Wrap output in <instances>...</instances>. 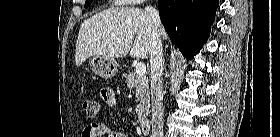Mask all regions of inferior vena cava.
Returning <instances> with one entry per match:
<instances>
[{"label": "inferior vena cava", "mask_w": 280, "mask_h": 137, "mask_svg": "<svg viewBox=\"0 0 280 137\" xmlns=\"http://www.w3.org/2000/svg\"><path fill=\"white\" fill-rule=\"evenodd\" d=\"M152 20V44L150 52L151 65V103H152V134L151 137H163V105H162V74L163 53L161 43V22L158 11L145 7Z\"/></svg>", "instance_id": "inferior-vena-cava-1"}]
</instances>
